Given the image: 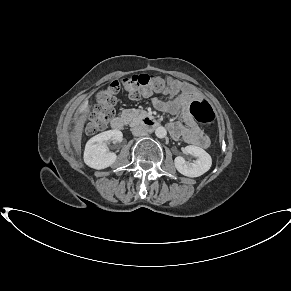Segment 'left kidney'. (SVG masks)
<instances>
[{
  "label": "left kidney",
  "instance_id": "obj_1",
  "mask_svg": "<svg viewBox=\"0 0 291 291\" xmlns=\"http://www.w3.org/2000/svg\"><path fill=\"white\" fill-rule=\"evenodd\" d=\"M183 152L197 159L193 162H189L181 156L175 158V167L182 175L187 177H199L210 169L212 165L211 156L202 148L189 145L184 148Z\"/></svg>",
  "mask_w": 291,
  "mask_h": 291
}]
</instances>
